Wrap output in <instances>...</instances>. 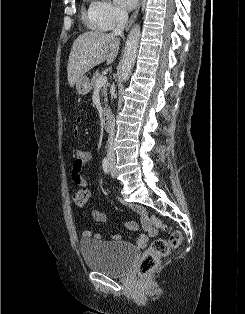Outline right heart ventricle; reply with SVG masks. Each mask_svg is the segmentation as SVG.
<instances>
[{"mask_svg": "<svg viewBox=\"0 0 245 314\" xmlns=\"http://www.w3.org/2000/svg\"><path fill=\"white\" fill-rule=\"evenodd\" d=\"M82 17H83V20L87 24H89L91 26H94L91 6L89 8H87V9L83 8V10H82Z\"/></svg>", "mask_w": 245, "mask_h": 314, "instance_id": "obj_1", "label": "right heart ventricle"}]
</instances>
